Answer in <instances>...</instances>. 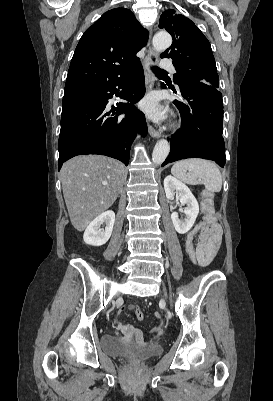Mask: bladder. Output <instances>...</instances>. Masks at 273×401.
<instances>
[{
	"label": "bladder",
	"mask_w": 273,
	"mask_h": 401,
	"mask_svg": "<svg viewBox=\"0 0 273 401\" xmlns=\"http://www.w3.org/2000/svg\"><path fill=\"white\" fill-rule=\"evenodd\" d=\"M101 347L105 353L132 363H142L162 353L159 346L133 350L122 340L111 335L102 338Z\"/></svg>",
	"instance_id": "obj_1"
}]
</instances>
